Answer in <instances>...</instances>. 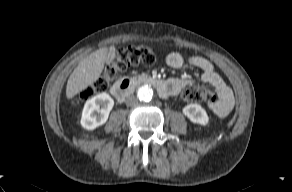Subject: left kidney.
Listing matches in <instances>:
<instances>
[{
  "label": "left kidney",
  "instance_id": "left-kidney-1",
  "mask_svg": "<svg viewBox=\"0 0 292 192\" xmlns=\"http://www.w3.org/2000/svg\"><path fill=\"white\" fill-rule=\"evenodd\" d=\"M183 114L193 123L206 125L209 122V117L201 105L194 103L186 105L183 108Z\"/></svg>",
  "mask_w": 292,
  "mask_h": 192
}]
</instances>
